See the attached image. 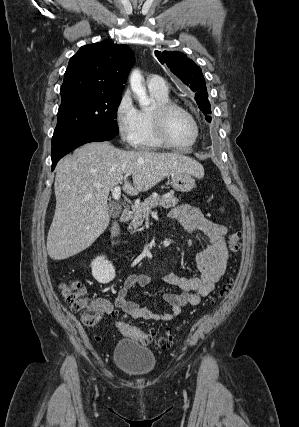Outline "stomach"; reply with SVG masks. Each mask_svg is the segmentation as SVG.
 <instances>
[{"label":"stomach","mask_w":299,"mask_h":427,"mask_svg":"<svg viewBox=\"0 0 299 427\" xmlns=\"http://www.w3.org/2000/svg\"><path fill=\"white\" fill-rule=\"evenodd\" d=\"M172 187L179 192L187 193L195 188V180L193 175L189 173H174L171 174Z\"/></svg>","instance_id":"1"}]
</instances>
